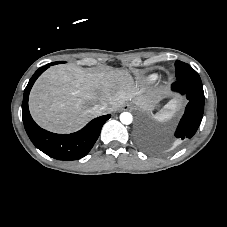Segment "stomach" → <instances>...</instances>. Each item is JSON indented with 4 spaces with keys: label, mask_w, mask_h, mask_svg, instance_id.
<instances>
[{
    "label": "stomach",
    "mask_w": 227,
    "mask_h": 227,
    "mask_svg": "<svg viewBox=\"0 0 227 227\" xmlns=\"http://www.w3.org/2000/svg\"><path fill=\"white\" fill-rule=\"evenodd\" d=\"M154 107V105H152L150 108H153Z\"/></svg>",
    "instance_id": "0dacf381"
}]
</instances>
